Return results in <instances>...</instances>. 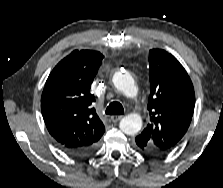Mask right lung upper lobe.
<instances>
[{
	"label": "right lung upper lobe",
	"mask_w": 223,
	"mask_h": 188,
	"mask_svg": "<svg viewBox=\"0 0 223 188\" xmlns=\"http://www.w3.org/2000/svg\"><path fill=\"white\" fill-rule=\"evenodd\" d=\"M98 51L75 50L50 73L41 97L46 127L65 148H86L97 144L105 127L96 114L91 83L101 65Z\"/></svg>",
	"instance_id": "right-lung-upper-lobe-1"
}]
</instances>
